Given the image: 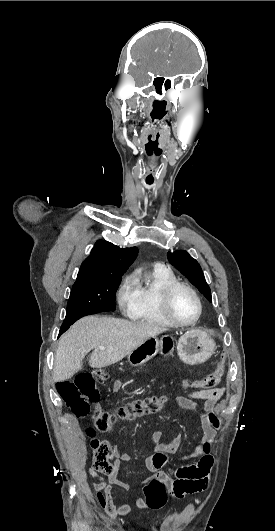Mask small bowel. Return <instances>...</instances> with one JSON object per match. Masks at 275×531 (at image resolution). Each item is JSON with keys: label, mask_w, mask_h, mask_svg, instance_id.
Masks as SVG:
<instances>
[{"label": "small bowel", "mask_w": 275, "mask_h": 531, "mask_svg": "<svg viewBox=\"0 0 275 531\" xmlns=\"http://www.w3.org/2000/svg\"><path fill=\"white\" fill-rule=\"evenodd\" d=\"M114 388L120 391L125 388V385L117 382ZM225 391L224 387H219L211 390L193 391L175 398V404L178 407L197 411L200 415L202 437L195 448L183 456L184 460L196 459L197 462L195 464H187L180 467L173 476L163 472L162 468L166 463V456L177 452L181 444V437L177 436L171 442L166 443L162 441V433L160 431L155 430L151 434L154 453L145 458V467L154 478L164 483L169 494L174 498L182 499L189 494L198 493L208 485L214 465L213 444L217 431L221 426L216 404L223 398ZM199 401L202 402V407L199 405ZM100 444L101 442L98 440L92 441V447L94 448ZM115 454L116 465L128 462L131 459L129 453H120L115 449ZM88 474L98 480L93 484L95 498L106 515L110 519L128 516L131 512V507L126 502L116 500L114 488L127 491L130 489V485L121 480L115 471L108 475L106 479L98 475L93 468L88 470ZM134 504L138 510L148 509L145 499L140 496L135 497Z\"/></svg>", "instance_id": "obj_1"}]
</instances>
